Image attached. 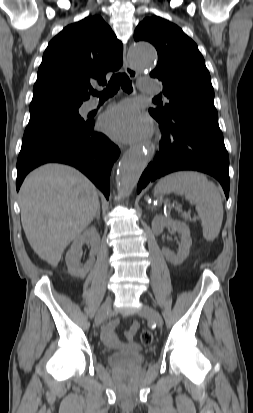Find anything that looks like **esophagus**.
<instances>
[{
  "label": "esophagus",
  "mask_w": 253,
  "mask_h": 413,
  "mask_svg": "<svg viewBox=\"0 0 253 413\" xmlns=\"http://www.w3.org/2000/svg\"><path fill=\"white\" fill-rule=\"evenodd\" d=\"M123 67L125 69V72L128 74V76L132 79H135L138 76L137 71L132 68L127 60L126 57V45H124V62H123ZM147 148H148V158H152L153 154H154V146L150 143L146 144Z\"/></svg>",
  "instance_id": "obj_1"
}]
</instances>
